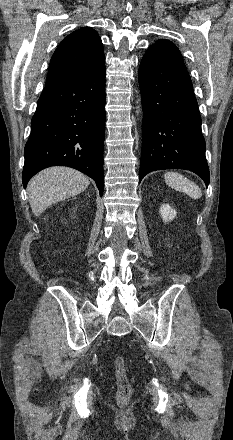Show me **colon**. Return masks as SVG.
<instances>
[{
  "label": "colon",
  "mask_w": 233,
  "mask_h": 440,
  "mask_svg": "<svg viewBox=\"0 0 233 440\" xmlns=\"http://www.w3.org/2000/svg\"><path fill=\"white\" fill-rule=\"evenodd\" d=\"M114 368L117 381L116 400L118 404L126 405L132 395V386L127 377L126 364L123 357H117L115 359Z\"/></svg>",
  "instance_id": "1"
}]
</instances>
